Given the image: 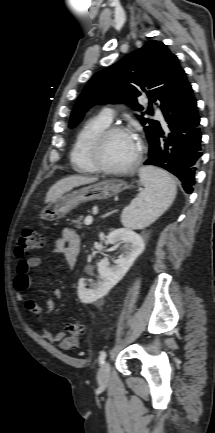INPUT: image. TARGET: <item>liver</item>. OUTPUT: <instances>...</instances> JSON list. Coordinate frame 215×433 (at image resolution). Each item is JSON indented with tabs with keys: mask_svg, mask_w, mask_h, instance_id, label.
<instances>
[{
	"mask_svg": "<svg viewBox=\"0 0 215 433\" xmlns=\"http://www.w3.org/2000/svg\"><path fill=\"white\" fill-rule=\"evenodd\" d=\"M96 177H84L80 175L69 176L56 182L49 190L46 201H53L60 198L64 193L74 187L96 182Z\"/></svg>",
	"mask_w": 215,
	"mask_h": 433,
	"instance_id": "6515ba94",
	"label": "liver"
}]
</instances>
